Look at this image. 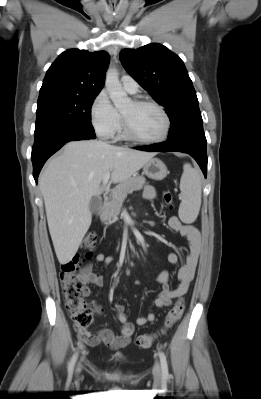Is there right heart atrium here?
<instances>
[{
  "instance_id": "obj_1",
  "label": "right heart atrium",
  "mask_w": 261,
  "mask_h": 399,
  "mask_svg": "<svg viewBox=\"0 0 261 399\" xmlns=\"http://www.w3.org/2000/svg\"><path fill=\"white\" fill-rule=\"evenodd\" d=\"M95 132L104 139L113 138L120 129L121 117L105 91L99 92L90 107Z\"/></svg>"
}]
</instances>
